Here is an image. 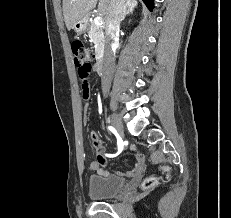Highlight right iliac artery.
Listing matches in <instances>:
<instances>
[{"label":"right iliac artery","mask_w":231,"mask_h":218,"mask_svg":"<svg viewBox=\"0 0 231 218\" xmlns=\"http://www.w3.org/2000/svg\"><path fill=\"white\" fill-rule=\"evenodd\" d=\"M108 128L117 137L118 152L116 154H106V156H108V157H115L118 154H120L121 151L123 150V142H122V139L120 138V136L118 135L117 131L112 126H109Z\"/></svg>","instance_id":"right-iliac-artery-1"}]
</instances>
